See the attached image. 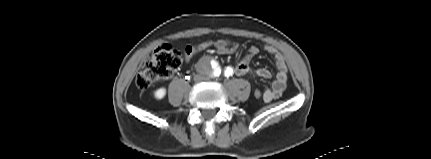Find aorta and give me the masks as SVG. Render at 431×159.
Returning <instances> with one entry per match:
<instances>
[{"label": "aorta", "mask_w": 431, "mask_h": 159, "mask_svg": "<svg viewBox=\"0 0 431 159\" xmlns=\"http://www.w3.org/2000/svg\"><path fill=\"white\" fill-rule=\"evenodd\" d=\"M208 72L211 74V75H217L218 74V69H208Z\"/></svg>", "instance_id": "aorta-1"}]
</instances>
